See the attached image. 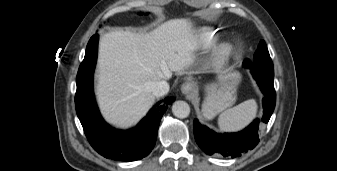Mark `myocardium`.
Wrapping results in <instances>:
<instances>
[{"label":"myocardium","instance_id":"f54148a6","mask_svg":"<svg viewBox=\"0 0 337 171\" xmlns=\"http://www.w3.org/2000/svg\"><path fill=\"white\" fill-rule=\"evenodd\" d=\"M230 52L225 49H221L216 52V60L222 61L225 57L229 56Z\"/></svg>","mask_w":337,"mask_h":171}]
</instances>
